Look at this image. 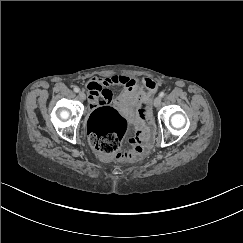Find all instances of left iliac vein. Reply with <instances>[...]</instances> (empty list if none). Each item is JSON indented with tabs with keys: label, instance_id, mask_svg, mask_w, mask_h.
<instances>
[{
	"label": "left iliac vein",
	"instance_id": "left-iliac-vein-1",
	"mask_svg": "<svg viewBox=\"0 0 243 243\" xmlns=\"http://www.w3.org/2000/svg\"><path fill=\"white\" fill-rule=\"evenodd\" d=\"M160 104H161V97L158 96V97H156V98L154 99V106H155V107H159Z\"/></svg>",
	"mask_w": 243,
	"mask_h": 243
}]
</instances>
